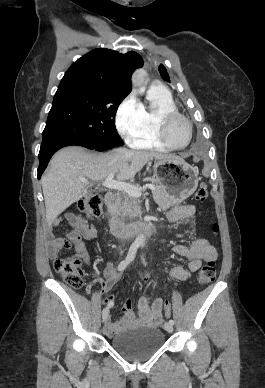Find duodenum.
Segmentation results:
<instances>
[{
    "label": "duodenum",
    "instance_id": "obj_1",
    "mask_svg": "<svg viewBox=\"0 0 265 388\" xmlns=\"http://www.w3.org/2000/svg\"><path fill=\"white\" fill-rule=\"evenodd\" d=\"M117 196L113 192H109L105 197V204L110 211L108 224L110 232L117 237H134L139 235H153L157 226L153 221L140 220L131 223H124L113 214V208L116 203Z\"/></svg>",
    "mask_w": 265,
    "mask_h": 388
}]
</instances>
